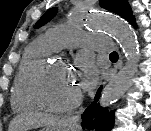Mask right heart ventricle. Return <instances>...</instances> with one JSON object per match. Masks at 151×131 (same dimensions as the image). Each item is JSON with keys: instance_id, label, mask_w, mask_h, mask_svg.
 I'll use <instances>...</instances> for the list:
<instances>
[{"instance_id": "1", "label": "right heart ventricle", "mask_w": 151, "mask_h": 131, "mask_svg": "<svg viewBox=\"0 0 151 131\" xmlns=\"http://www.w3.org/2000/svg\"><path fill=\"white\" fill-rule=\"evenodd\" d=\"M55 50L44 37L36 39L26 47L11 91L10 102L15 111L22 112L38 107L31 95V83L39 68Z\"/></svg>"}]
</instances>
